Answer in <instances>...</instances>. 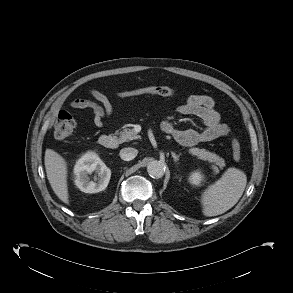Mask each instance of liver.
I'll list each match as a JSON object with an SVG mask.
<instances>
[{
	"label": "liver",
	"mask_w": 293,
	"mask_h": 293,
	"mask_svg": "<svg viewBox=\"0 0 293 293\" xmlns=\"http://www.w3.org/2000/svg\"><path fill=\"white\" fill-rule=\"evenodd\" d=\"M44 164L47 179L56 196L65 204H69L67 184V163L56 151L47 148L45 151Z\"/></svg>",
	"instance_id": "liver-1"
}]
</instances>
